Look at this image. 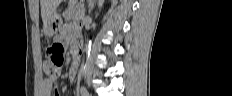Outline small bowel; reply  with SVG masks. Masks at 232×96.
<instances>
[{
    "label": "small bowel",
    "mask_w": 232,
    "mask_h": 96,
    "mask_svg": "<svg viewBox=\"0 0 232 96\" xmlns=\"http://www.w3.org/2000/svg\"><path fill=\"white\" fill-rule=\"evenodd\" d=\"M79 35H82V30L73 24H65L60 33L54 38V44L64 45L69 44L72 46H78L79 43H84V38H79ZM44 69L49 72L48 68L50 64L48 62L44 63ZM74 77V74H71V78ZM56 81V77L51 75L46 77L40 85V95L41 96H51L53 85ZM54 96H63V93H54Z\"/></svg>",
    "instance_id": "small-bowel-1"
}]
</instances>
